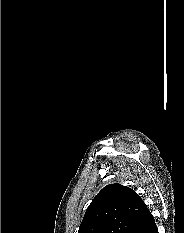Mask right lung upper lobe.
Here are the masks:
<instances>
[{
  "mask_svg": "<svg viewBox=\"0 0 184 233\" xmlns=\"http://www.w3.org/2000/svg\"><path fill=\"white\" fill-rule=\"evenodd\" d=\"M150 216L135 191L121 184H109L88 206L78 233H133Z\"/></svg>",
  "mask_w": 184,
  "mask_h": 233,
  "instance_id": "obj_1",
  "label": "right lung upper lobe"
}]
</instances>
